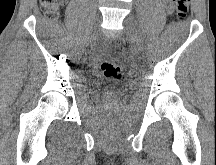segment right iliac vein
<instances>
[{
    "instance_id": "63e3f726",
    "label": "right iliac vein",
    "mask_w": 216,
    "mask_h": 165,
    "mask_svg": "<svg viewBox=\"0 0 216 165\" xmlns=\"http://www.w3.org/2000/svg\"><path fill=\"white\" fill-rule=\"evenodd\" d=\"M98 37V31H95V33L93 34V40H95Z\"/></svg>"
}]
</instances>
